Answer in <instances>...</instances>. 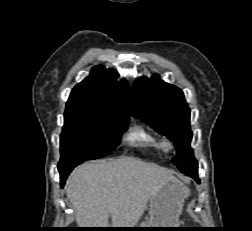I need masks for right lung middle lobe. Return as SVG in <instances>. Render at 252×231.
I'll use <instances>...</instances> for the list:
<instances>
[{
    "mask_svg": "<svg viewBox=\"0 0 252 231\" xmlns=\"http://www.w3.org/2000/svg\"><path fill=\"white\" fill-rule=\"evenodd\" d=\"M58 169L109 155L120 143L128 116L86 110H66Z\"/></svg>",
    "mask_w": 252,
    "mask_h": 231,
    "instance_id": "dd1d6c3e",
    "label": "right lung middle lobe"
}]
</instances>
